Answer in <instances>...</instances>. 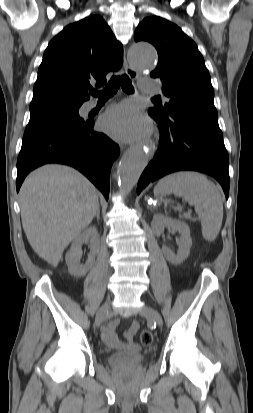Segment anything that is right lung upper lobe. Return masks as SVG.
<instances>
[{
  "mask_svg": "<svg viewBox=\"0 0 253 413\" xmlns=\"http://www.w3.org/2000/svg\"><path fill=\"white\" fill-rule=\"evenodd\" d=\"M122 63L123 47L101 16L66 26L44 52L30 113L80 107L90 98V81L104 85Z\"/></svg>",
  "mask_w": 253,
  "mask_h": 413,
  "instance_id": "cb5924a9",
  "label": "right lung upper lobe"
}]
</instances>
